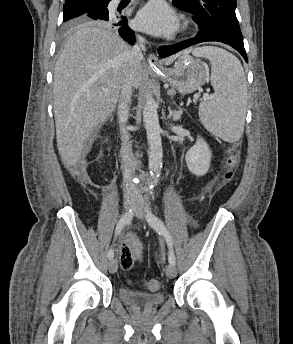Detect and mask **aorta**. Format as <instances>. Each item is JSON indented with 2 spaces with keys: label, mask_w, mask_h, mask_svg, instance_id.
<instances>
[{
  "label": "aorta",
  "mask_w": 293,
  "mask_h": 344,
  "mask_svg": "<svg viewBox=\"0 0 293 344\" xmlns=\"http://www.w3.org/2000/svg\"><path fill=\"white\" fill-rule=\"evenodd\" d=\"M143 122L146 129L147 140L150 145L149 168L153 180L149 183L150 188L157 183L156 174L162 167L163 149L160 136L161 128L157 112V104L151 95H147L143 108Z\"/></svg>",
  "instance_id": "1"
}]
</instances>
